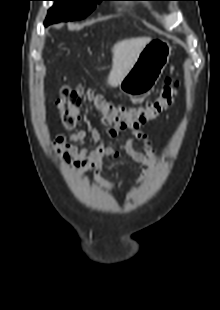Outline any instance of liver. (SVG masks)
Returning <instances> with one entry per match:
<instances>
[{
  "mask_svg": "<svg viewBox=\"0 0 220 310\" xmlns=\"http://www.w3.org/2000/svg\"><path fill=\"white\" fill-rule=\"evenodd\" d=\"M150 41V37H137L124 39L113 46L112 68L107 80L111 87L119 85Z\"/></svg>",
  "mask_w": 220,
  "mask_h": 310,
  "instance_id": "1",
  "label": "liver"
}]
</instances>
